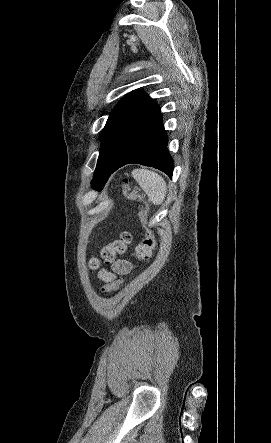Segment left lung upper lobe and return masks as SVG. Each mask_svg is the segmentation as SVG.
I'll return each mask as SVG.
<instances>
[{
  "mask_svg": "<svg viewBox=\"0 0 271 443\" xmlns=\"http://www.w3.org/2000/svg\"><path fill=\"white\" fill-rule=\"evenodd\" d=\"M148 95L134 91L129 93L111 112L104 127L102 148L91 181L92 188L100 191L110 176V170L125 130L135 118Z\"/></svg>",
  "mask_w": 271,
  "mask_h": 443,
  "instance_id": "5c2ea615",
  "label": "left lung upper lobe"
}]
</instances>
